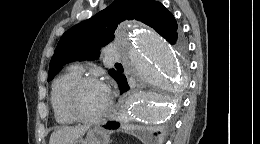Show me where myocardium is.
Wrapping results in <instances>:
<instances>
[{"label":"myocardium","instance_id":"obj_1","mask_svg":"<svg viewBox=\"0 0 260 144\" xmlns=\"http://www.w3.org/2000/svg\"><path fill=\"white\" fill-rule=\"evenodd\" d=\"M89 83H100L101 80L93 76H84L80 77L70 88L65 100V108L68 114L74 119V121L82 122V123H96L100 121L109 111L112 101L108 98L106 106L101 110L100 113L94 116H84L82 115L76 106L77 98L81 89Z\"/></svg>","mask_w":260,"mask_h":144}]
</instances>
